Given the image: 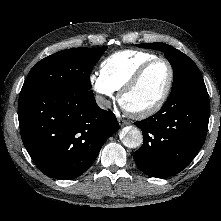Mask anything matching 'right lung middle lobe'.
<instances>
[{
    "mask_svg": "<svg viewBox=\"0 0 221 221\" xmlns=\"http://www.w3.org/2000/svg\"><path fill=\"white\" fill-rule=\"evenodd\" d=\"M107 47L59 51L38 62L28 74L20 97L31 94L90 91L91 69Z\"/></svg>",
    "mask_w": 221,
    "mask_h": 221,
    "instance_id": "obj_1",
    "label": "right lung middle lobe"
}]
</instances>
